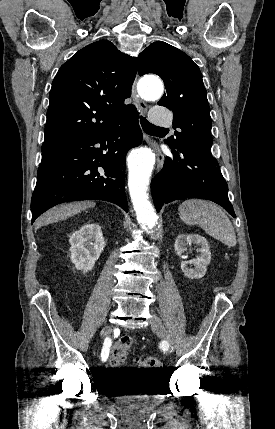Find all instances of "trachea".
<instances>
[{
  "label": "trachea",
  "mask_w": 275,
  "mask_h": 429,
  "mask_svg": "<svg viewBox=\"0 0 275 429\" xmlns=\"http://www.w3.org/2000/svg\"><path fill=\"white\" fill-rule=\"evenodd\" d=\"M140 123H141L143 131L147 134H151V133L159 132V131H168V129H166V128L157 127V126L151 124L143 116L140 117Z\"/></svg>",
  "instance_id": "1"
}]
</instances>
